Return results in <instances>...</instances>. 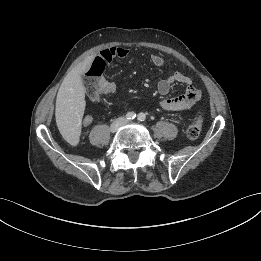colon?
I'll return each mask as SVG.
<instances>
[{
    "label": "colon",
    "mask_w": 261,
    "mask_h": 261,
    "mask_svg": "<svg viewBox=\"0 0 261 261\" xmlns=\"http://www.w3.org/2000/svg\"><path fill=\"white\" fill-rule=\"evenodd\" d=\"M105 64L100 59H95L90 69L85 74V89L87 97L90 101H97L101 95L105 94V85L102 73ZM202 129V115L198 114L195 120L187 128V136L189 138H197Z\"/></svg>",
    "instance_id": "1"
}]
</instances>
